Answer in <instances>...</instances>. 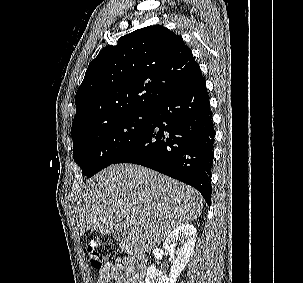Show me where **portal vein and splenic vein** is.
Listing matches in <instances>:
<instances>
[{
  "label": "portal vein and splenic vein",
  "mask_w": 303,
  "mask_h": 283,
  "mask_svg": "<svg viewBox=\"0 0 303 283\" xmlns=\"http://www.w3.org/2000/svg\"><path fill=\"white\" fill-rule=\"evenodd\" d=\"M126 222L129 224L132 222V220L130 218H126Z\"/></svg>",
  "instance_id": "obj_1"
}]
</instances>
